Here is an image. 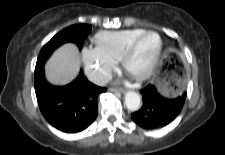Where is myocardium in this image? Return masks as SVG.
Masks as SVG:
<instances>
[{
    "label": "myocardium",
    "instance_id": "f54148a6",
    "mask_svg": "<svg viewBox=\"0 0 225 155\" xmlns=\"http://www.w3.org/2000/svg\"><path fill=\"white\" fill-rule=\"evenodd\" d=\"M149 35H155L158 37V40H159V45H158V48H157V51L154 55V57L152 58V60L150 61L149 65L146 67V69L144 71H142L141 73H138V74H132L129 72L128 70V64H129V61L130 59L132 58V56L134 55L138 45L140 44V42L146 37V36H149ZM162 50H163V40H162V37L160 36L159 33H157L156 31H144L142 32L141 34H139L138 36H136L128 45L127 47L125 48V50L123 51L122 55H121V58H120V63H121V66L122 68L129 74L131 75L133 78H135L136 80H145L147 79L148 77L151 76V74L154 72L159 60H160V57H161V54H162Z\"/></svg>",
    "mask_w": 225,
    "mask_h": 155
}]
</instances>
